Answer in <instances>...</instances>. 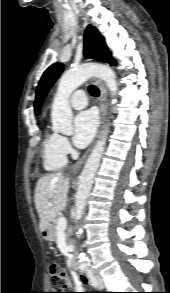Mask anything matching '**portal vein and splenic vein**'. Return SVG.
Listing matches in <instances>:
<instances>
[{"label": "portal vein and splenic vein", "mask_w": 170, "mask_h": 293, "mask_svg": "<svg viewBox=\"0 0 170 293\" xmlns=\"http://www.w3.org/2000/svg\"><path fill=\"white\" fill-rule=\"evenodd\" d=\"M48 205H52V203H48ZM67 227V220L65 217H60L57 222V230H64Z\"/></svg>", "instance_id": "portal-vein-and-splenic-vein-1"}]
</instances>
